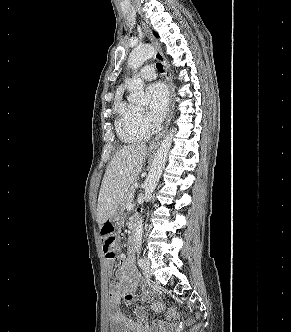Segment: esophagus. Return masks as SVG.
<instances>
[{"mask_svg":"<svg viewBox=\"0 0 291 332\" xmlns=\"http://www.w3.org/2000/svg\"><path fill=\"white\" fill-rule=\"evenodd\" d=\"M142 27L145 31V34L147 35V37L149 38V40L151 41V43L154 46L155 49V54L154 57L157 61H159L160 63H162L163 67H164V74H165V80L166 83L169 87L170 90V103H169V109H168V115H167V120H166V124H165V128L164 130L157 136L155 137V139L153 141H151V143L149 144L150 148H156L159 146L160 142L162 141L165 132L168 128L169 122L171 120V117L173 115V108H174V86H173V82L171 79V73L169 70V66L168 63L161 51L160 45L157 42L156 38L154 37V35L152 34L149 26L145 23L142 22Z\"/></svg>","mask_w":291,"mask_h":332,"instance_id":"34e87169","label":"esophagus"}]
</instances>
